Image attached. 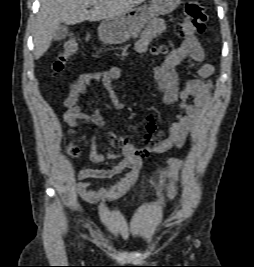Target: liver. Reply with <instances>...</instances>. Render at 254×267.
Instances as JSON below:
<instances>
[{
    "label": "liver",
    "mask_w": 254,
    "mask_h": 267,
    "mask_svg": "<svg viewBox=\"0 0 254 267\" xmlns=\"http://www.w3.org/2000/svg\"><path fill=\"white\" fill-rule=\"evenodd\" d=\"M145 0H41L33 32L34 57L39 59L49 49L61 23L75 25L100 21L125 14ZM94 5L91 10H87Z\"/></svg>",
    "instance_id": "liver-1"
}]
</instances>
